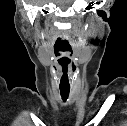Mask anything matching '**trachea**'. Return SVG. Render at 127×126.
Returning a JSON list of instances; mask_svg holds the SVG:
<instances>
[{
  "mask_svg": "<svg viewBox=\"0 0 127 126\" xmlns=\"http://www.w3.org/2000/svg\"><path fill=\"white\" fill-rule=\"evenodd\" d=\"M69 93H70V88L69 89L60 88V94L64 102H66V100L68 99Z\"/></svg>",
  "mask_w": 127,
  "mask_h": 126,
  "instance_id": "trachea-1",
  "label": "trachea"
}]
</instances>
